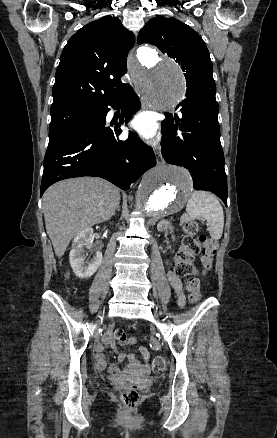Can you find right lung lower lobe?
I'll list each match as a JSON object with an SVG mask.
<instances>
[{"mask_svg": "<svg viewBox=\"0 0 277 438\" xmlns=\"http://www.w3.org/2000/svg\"><path fill=\"white\" fill-rule=\"evenodd\" d=\"M122 107L123 118L140 108L133 88L127 84L122 92L101 102L88 118L49 137L44 157L41 196L53 183L66 178L96 176L123 190L129 189L145 171L156 165L154 153L133 134L125 141L117 123L106 125L108 106Z\"/></svg>", "mask_w": 277, "mask_h": 438, "instance_id": "1", "label": "right lung lower lobe"}]
</instances>
